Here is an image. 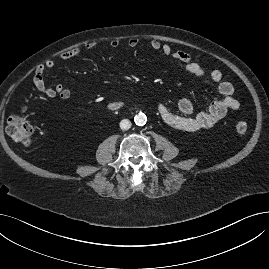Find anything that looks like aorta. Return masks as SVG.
<instances>
[{
  "label": "aorta",
  "mask_w": 269,
  "mask_h": 269,
  "mask_svg": "<svg viewBox=\"0 0 269 269\" xmlns=\"http://www.w3.org/2000/svg\"><path fill=\"white\" fill-rule=\"evenodd\" d=\"M147 121V117L144 113H139L135 115L134 117V122L138 126H143Z\"/></svg>",
  "instance_id": "762f6f07"
}]
</instances>
